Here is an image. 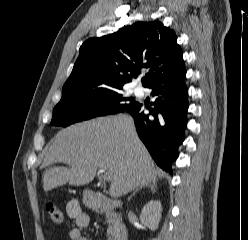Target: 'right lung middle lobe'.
Masks as SVG:
<instances>
[{"mask_svg": "<svg viewBox=\"0 0 248 240\" xmlns=\"http://www.w3.org/2000/svg\"><path fill=\"white\" fill-rule=\"evenodd\" d=\"M121 89H63L60 102L53 109L52 125L68 126L91 118L122 112L136 102L123 97Z\"/></svg>", "mask_w": 248, "mask_h": 240, "instance_id": "obj_1", "label": "right lung middle lobe"}]
</instances>
